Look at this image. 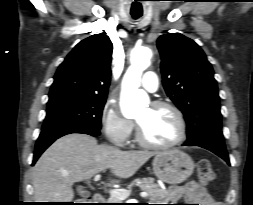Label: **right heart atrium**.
<instances>
[{
	"label": "right heart atrium",
	"instance_id": "d8ad5b80",
	"mask_svg": "<svg viewBox=\"0 0 253 205\" xmlns=\"http://www.w3.org/2000/svg\"><path fill=\"white\" fill-rule=\"evenodd\" d=\"M100 123L106 138L116 146L125 145L133 131L132 121L122 116L110 101L102 108Z\"/></svg>",
	"mask_w": 253,
	"mask_h": 205
}]
</instances>
